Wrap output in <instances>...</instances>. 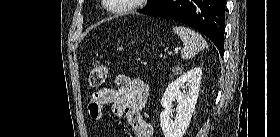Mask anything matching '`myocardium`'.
Instances as JSON below:
<instances>
[{"label":"myocardium","instance_id":"obj_1","mask_svg":"<svg viewBox=\"0 0 280 137\" xmlns=\"http://www.w3.org/2000/svg\"><path fill=\"white\" fill-rule=\"evenodd\" d=\"M104 2H106V1H104ZM139 2H142V1L141 0H130L128 2V4L124 5L121 8H118V9H113L108 4H105V6L113 13H125L128 11L134 10L137 7Z\"/></svg>","mask_w":280,"mask_h":137}]
</instances>
